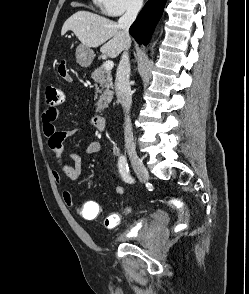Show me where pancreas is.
<instances>
[{"instance_id":"cf45deb5","label":"pancreas","mask_w":249,"mask_h":294,"mask_svg":"<svg viewBox=\"0 0 249 294\" xmlns=\"http://www.w3.org/2000/svg\"><path fill=\"white\" fill-rule=\"evenodd\" d=\"M91 78L94 80L95 84V99L98 98V93L100 97L96 103V111L100 112L104 110L108 103H110L113 98V88L111 71L100 66L92 73Z\"/></svg>"}]
</instances>
